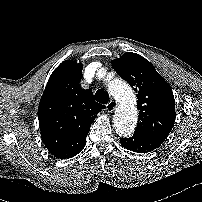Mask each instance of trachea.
<instances>
[{
  "mask_svg": "<svg viewBox=\"0 0 202 202\" xmlns=\"http://www.w3.org/2000/svg\"><path fill=\"white\" fill-rule=\"evenodd\" d=\"M95 99L96 101L105 104L109 101V95L106 91L99 89L95 93Z\"/></svg>",
  "mask_w": 202,
  "mask_h": 202,
  "instance_id": "obj_1",
  "label": "trachea"
}]
</instances>
